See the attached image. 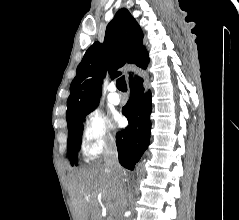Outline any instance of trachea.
Listing matches in <instances>:
<instances>
[{
    "label": "trachea",
    "mask_w": 239,
    "mask_h": 220,
    "mask_svg": "<svg viewBox=\"0 0 239 220\" xmlns=\"http://www.w3.org/2000/svg\"><path fill=\"white\" fill-rule=\"evenodd\" d=\"M116 86L119 90H126L127 89L125 76H121L120 78L117 79Z\"/></svg>",
    "instance_id": "1"
}]
</instances>
